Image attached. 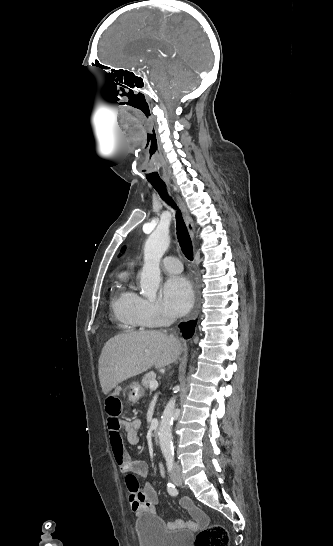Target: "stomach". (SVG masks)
Returning <instances> with one entry per match:
<instances>
[{"instance_id":"stomach-1","label":"stomach","mask_w":333,"mask_h":546,"mask_svg":"<svg viewBox=\"0 0 333 546\" xmlns=\"http://www.w3.org/2000/svg\"><path fill=\"white\" fill-rule=\"evenodd\" d=\"M144 395V389L136 382L129 385L128 398L132 402H136Z\"/></svg>"}]
</instances>
